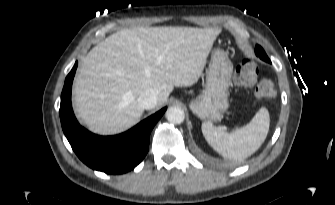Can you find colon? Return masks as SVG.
I'll return each mask as SVG.
<instances>
[{
  "mask_svg": "<svg viewBox=\"0 0 335 205\" xmlns=\"http://www.w3.org/2000/svg\"><path fill=\"white\" fill-rule=\"evenodd\" d=\"M257 78L258 67L250 60L243 61L234 74L236 84L243 87L254 86V94L258 98L268 99L274 97L276 93L274 82L269 78L257 82Z\"/></svg>",
  "mask_w": 335,
  "mask_h": 205,
  "instance_id": "obj_1",
  "label": "colon"
}]
</instances>
